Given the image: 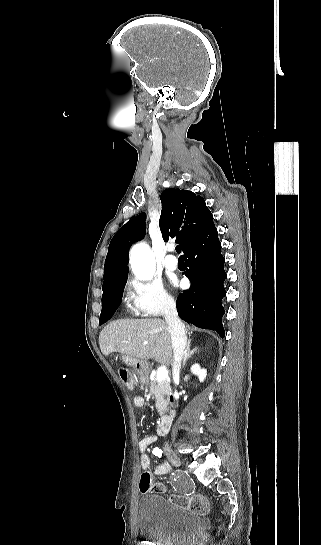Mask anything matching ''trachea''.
<instances>
[{
    "label": "trachea",
    "instance_id": "1",
    "mask_svg": "<svg viewBox=\"0 0 321 545\" xmlns=\"http://www.w3.org/2000/svg\"><path fill=\"white\" fill-rule=\"evenodd\" d=\"M176 251H177L178 253L181 252V247H180V245H177V246H176ZM179 258H183V257L181 256V257H179Z\"/></svg>",
    "mask_w": 321,
    "mask_h": 545
}]
</instances>
